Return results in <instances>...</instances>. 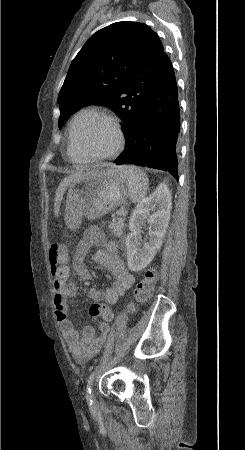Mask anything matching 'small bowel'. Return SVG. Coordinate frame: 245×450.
I'll list each match as a JSON object with an SVG mask.
<instances>
[{"label": "small bowel", "mask_w": 245, "mask_h": 450, "mask_svg": "<svg viewBox=\"0 0 245 450\" xmlns=\"http://www.w3.org/2000/svg\"><path fill=\"white\" fill-rule=\"evenodd\" d=\"M91 247L97 248L93 260L103 269L108 270L113 279L110 287L104 291L94 287L90 288L88 296L91 300L114 305L134 283V277L127 270L118 252L116 242L107 240L96 227L86 229L77 245L71 264L65 263L52 269L55 318L61 326L69 352L80 364L85 363L100 351L109 332L107 322L95 320L98 333L91 327H85L82 334H79L69 317L68 299L77 295L78 284L69 282L68 279L71 272L76 273L80 281L91 279L92 274L84 263V257Z\"/></svg>", "instance_id": "1"}]
</instances>
